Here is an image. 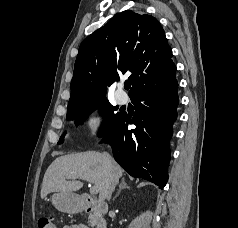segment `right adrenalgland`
Masks as SVG:
<instances>
[{"label":"right adrenal gland","instance_id":"right-adrenal-gland-1","mask_svg":"<svg viewBox=\"0 0 238 228\" xmlns=\"http://www.w3.org/2000/svg\"><path fill=\"white\" fill-rule=\"evenodd\" d=\"M130 187L127 185V183L125 182V179L124 178H122V180H121V183H120V185H119V190H118V192H117V194L115 195V197L113 198V200H115L117 197H118V195L120 194V192L122 191V189H129Z\"/></svg>","mask_w":238,"mask_h":228}]
</instances>
